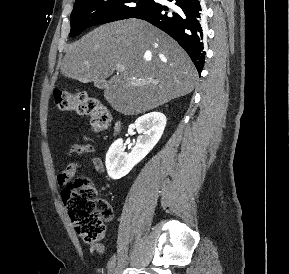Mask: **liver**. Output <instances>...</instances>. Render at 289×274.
I'll return each mask as SVG.
<instances>
[{
	"label": "liver",
	"instance_id": "obj_1",
	"mask_svg": "<svg viewBox=\"0 0 289 274\" xmlns=\"http://www.w3.org/2000/svg\"><path fill=\"white\" fill-rule=\"evenodd\" d=\"M119 66L124 69L112 76ZM60 70L82 83L105 82L106 101L124 115L145 113L191 93L198 77L174 39L138 19L101 25L70 44Z\"/></svg>",
	"mask_w": 289,
	"mask_h": 274
}]
</instances>
